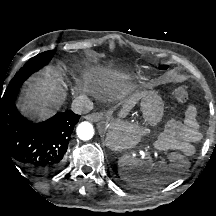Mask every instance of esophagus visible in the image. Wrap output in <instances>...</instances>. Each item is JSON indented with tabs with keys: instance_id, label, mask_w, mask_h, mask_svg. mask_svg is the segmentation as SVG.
<instances>
[{
	"instance_id": "1",
	"label": "esophagus",
	"mask_w": 216,
	"mask_h": 216,
	"mask_svg": "<svg viewBox=\"0 0 216 216\" xmlns=\"http://www.w3.org/2000/svg\"><path fill=\"white\" fill-rule=\"evenodd\" d=\"M85 118L92 122H97L103 118V113L101 112H92L85 116Z\"/></svg>"
}]
</instances>
